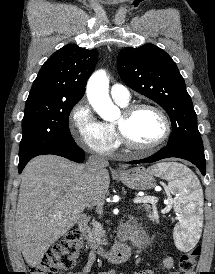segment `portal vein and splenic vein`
I'll return each instance as SVG.
<instances>
[{
  "label": "portal vein and splenic vein",
  "mask_w": 215,
  "mask_h": 274,
  "mask_svg": "<svg viewBox=\"0 0 215 274\" xmlns=\"http://www.w3.org/2000/svg\"><path fill=\"white\" fill-rule=\"evenodd\" d=\"M133 201L134 203H153L156 201V198L153 196H142L136 197Z\"/></svg>",
  "instance_id": "portal-vein-and-splenic-vein-1"
}]
</instances>
